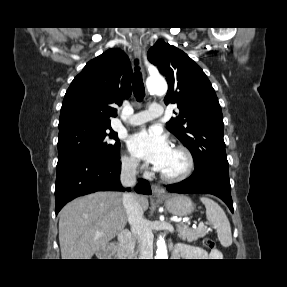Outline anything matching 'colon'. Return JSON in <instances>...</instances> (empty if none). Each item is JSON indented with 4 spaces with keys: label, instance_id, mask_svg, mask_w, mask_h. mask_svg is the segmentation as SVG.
<instances>
[{
    "label": "colon",
    "instance_id": "obj_1",
    "mask_svg": "<svg viewBox=\"0 0 287 287\" xmlns=\"http://www.w3.org/2000/svg\"><path fill=\"white\" fill-rule=\"evenodd\" d=\"M203 246L207 249H214L215 247V242L212 238H204L203 241Z\"/></svg>",
    "mask_w": 287,
    "mask_h": 287
}]
</instances>
